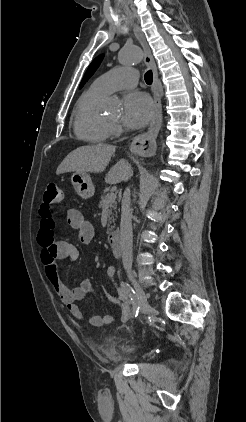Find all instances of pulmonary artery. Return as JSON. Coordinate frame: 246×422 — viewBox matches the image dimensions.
I'll return each mask as SVG.
<instances>
[{"instance_id":"1","label":"pulmonary artery","mask_w":246,"mask_h":422,"mask_svg":"<svg viewBox=\"0 0 246 422\" xmlns=\"http://www.w3.org/2000/svg\"><path fill=\"white\" fill-rule=\"evenodd\" d=\"M138 83V72L135 69L121 67L109 71L94 82L93 86L105 94H109L113 91L132 88Z\"/></svg>"}]
</instances>
